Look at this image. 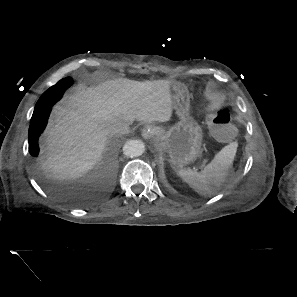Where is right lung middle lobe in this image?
I'll list each match as a JSON object with an SVG mask.
<instances>
[{
  "label": "right lung middle lobe",
  "instance_id": "right-lung-middle-lobe-1",
  "mask_svg": "<svg viewBox=\"0 0 297 297\" xmlns=\"http://www.w3.org/2000/svg\"><path fill=\"white\" fill-rule=\"evenodd\" d=\"M72 84V78L67 77L50 87L38 100L37 104H39V106L37 111L42 112L48 105L57 102L62 97L64 91Z\"/></svg>",
  "mask_w": 297,
  "mask_h": 297
}]
</instances>
